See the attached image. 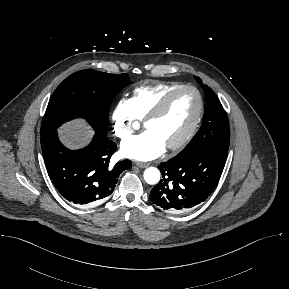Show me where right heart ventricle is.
<instances>
[{"mask_svg":"<svg viewBox=\"0 0 289 289\" xmlns=\"http://www.w3.org/2000/svg\"><path fill=\"white\" fill-rule=\"evenodd\" d=\"M180 86L182 84L176 82H159L135 88L130 101L136 119L144 120L165 95Z\"/></svg>","mask_w":289,"mask_h":289,"instance_id":"1","label":"right heart ventricle"}]
</instances>
